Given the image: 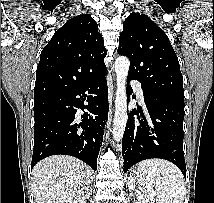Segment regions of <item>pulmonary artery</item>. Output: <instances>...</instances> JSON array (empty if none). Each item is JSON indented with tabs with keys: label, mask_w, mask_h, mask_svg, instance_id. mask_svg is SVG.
I'll return each instance as SVG.
<instances>
[{
	"label": "pulmonary artery",
	"mask_w": 214,
	"mask_h": 203,
	"mask_svg": "<svg viewBox=\"0 0 214 203\" xmlns=\"http://www.w3.org/2000/svg\"><path fill=\"white\" fill-rule=\"evenodd\" d=\"M132 85L136 91L139 101L144 102V94H143V90H142V85L137 81H133Z\"/></svg>",
	"instance_id": "e3ab8cb5"
}]
</instances>
